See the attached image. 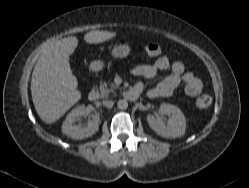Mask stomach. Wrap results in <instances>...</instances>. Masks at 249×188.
I'll list each match as a JSON object with an SVG mask.
<instances>
[{
    "mask_svg": "<svg viewBox=\"0 0 249 188\" xmlns=\"http://www.w3.org/2000/svg\"><path fill=\"white\" fill-rule=\"evenodd\" d=\"M129 53L130 47L126 44H121L112 49L111 55L114 58H125ZM90 67L93 71H100L105 67V63L102 60H96L91 63Z\"/></svg>",
    "mask_w": 249,
    "mask_h": 188,
    "instance_id": "1",
    "label": "stomach"
}]
</instances>
